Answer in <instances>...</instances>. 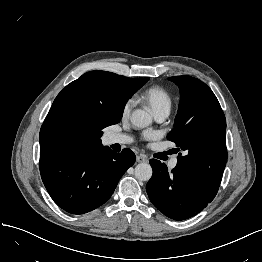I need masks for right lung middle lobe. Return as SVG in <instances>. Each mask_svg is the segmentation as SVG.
<instances>
[{
  "mask_svg": "<svg viewBox=\"0 0 262 262\" xmlns=\"http://www.w3.org/2000/svg\"><path fill=\"white\" fill-rule=\"evenodd\" d=\"M149 80V78H142L139 82V88L142 87L147 81ZM122 117H119L113 121H96L94 122V129L98 135L99 138H101L103 132L102 130L110 125L116 124L121 120Z\"/></svg>",
  "mask_w": 262,
  "mask_h": 262,
  "instance_id": "1",
  "label": "right lung middle lobe"
}]
</instances>
